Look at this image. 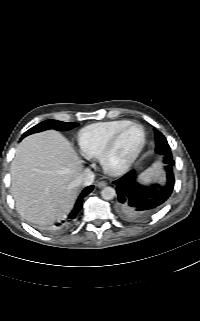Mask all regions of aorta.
I'll use <instances>...</instances> for the list:
<instances>
[{"label":"aorta","instance_id":"762f6f07","mask_svg":"<svg viewBox=\"0 0 200 321\" xmlns=\"http://www.w3.org/2000/svg\"><path fill=\"white\" fill-rule=\"evenodd\" d=\"M116 191L112 187H104L101 191V196L105 200H111L115 197Z\"/></svg>","mask_w":200,"mask_h":321}]
</instances>
